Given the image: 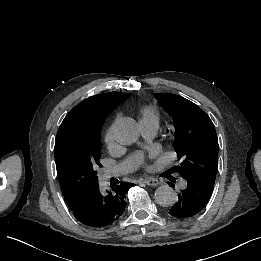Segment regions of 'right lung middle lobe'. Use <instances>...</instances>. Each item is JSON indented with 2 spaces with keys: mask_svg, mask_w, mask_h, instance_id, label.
Here are the masks:
<instances>
[{
  "mask_svg": "<svg viewBox=\"0 0 261 261\" xmlns=\"http://www.w3.org/2000/svg\"><path fill=\"white\" fill-rule=\"evenodd\" d=\"M101 127L73 119L61 124L55 142L56 169L67 203L98 184Z\"/></svg>",
  "mask_w": 261,
  "mask_h": 261,
  "instance_id": "obj_1",
  "label": "right lung middle lobe"
}]
</instances>
